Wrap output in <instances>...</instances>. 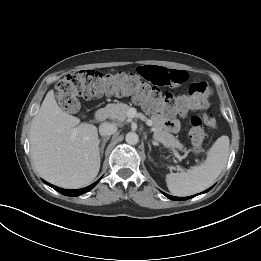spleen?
I'll return each instance as SVG.
<instances>
[{
    "label": "spleen",
    "instance_id": "1",
    "mask_svg": "<svg viewBox=\"0 0 261 261\" xmlns=\"http://www.w3.org/2000/svg\"><path fill=\"white\" fill-rule=\"evenodd\" d=\"M229 146V137L223 135L209 149L204 163L194 166L186 172L167 174L166 183L171 194L189 196L207 189L226 166Z\"/></svg>",
    "mask_w": 261,
    "mask_h": 261
}]
</instances>
